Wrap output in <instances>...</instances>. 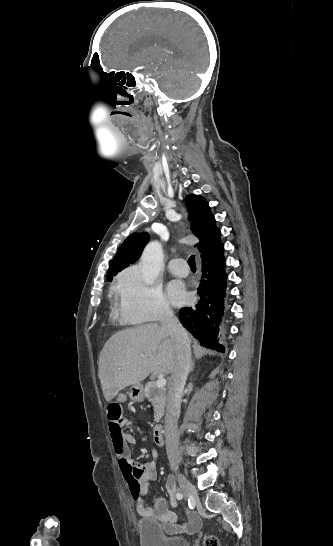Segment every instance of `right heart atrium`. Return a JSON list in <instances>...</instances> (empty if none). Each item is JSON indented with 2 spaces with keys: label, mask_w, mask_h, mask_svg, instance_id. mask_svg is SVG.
Wrapping results in <instances>:
<instances>
[{
  "label": "right heart atrium",
  "mask_w": 333,
  "mask_h": 546,
  "mask_svg": "<svg viewBox=\"0 0 333 546\" xmlns=\"http://www.w3.org/2000/svg\"><path fill=\"white\" fill-rule=\"evenodd\" d=\"M118 314L127 324L163 321L172 316L171 306L155 285L147 284L137 268L124 271L117 281Z\"/></svg>",
  "instance_id": "d8ad5b80"
}]
</instances>
